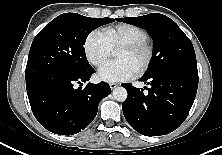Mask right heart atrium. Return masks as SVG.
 <instances>
[{"instance_id":"right-heart-atrium-1","label":"right heart atrium","mask_w":222,"mask_h":155,"mask_svg":"<svg viewBox=\"0 0 222 155\" xmlns=\"http://www.w3.org/2000/svg\"><path fill=\"white\" fill-rule=\"evenodd\" d=\"M84 52L91 65L100 67L110 58L112 49L104 34L99 30H93L85 39Z\"/></svg>"}]
</instances>
